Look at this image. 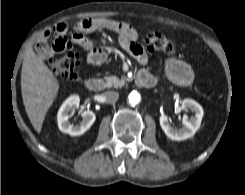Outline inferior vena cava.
<instances>
[{
	"mask_svg": "<svg viewBox=\"0 0 245 195\" xmlns=\"http://www.w3.org/2000/svg\"><path fill=\"white\" fill-rule=\"evenodd\" d=\"M106 101L109 103H115L119 98V93L116 91H107L104 94Z\"/></svg>",
	"mask_w": 245,
	"mask_h": 195,
	"instance_id": "inferior-vena-cava-1",
	"label": "inferior vena cava"
}]
</instances>
